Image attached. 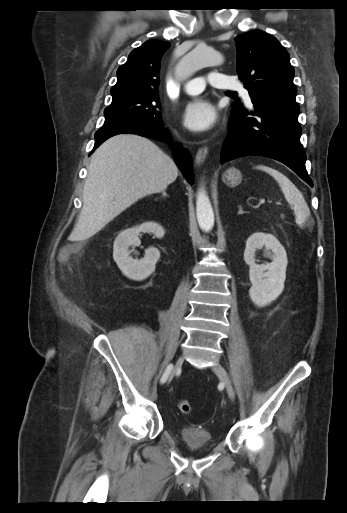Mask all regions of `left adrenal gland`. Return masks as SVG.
<instances>
[{"label": "left adrenal gland", "mask_w": 347, "mask_h": 513, "mask_svg": "<svg viewBox=\"0 0 347 513\" xmlns=\"http://www.w3.org/2000/svg\"><path fill=\"white\" fill-rule=\"evenodd\" d=\"M238 209H239L238 214H243L244 213L243 208H242L241 205H238Z\"/></svg>", "instance_id": "a2214340"}]
</instances>
